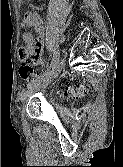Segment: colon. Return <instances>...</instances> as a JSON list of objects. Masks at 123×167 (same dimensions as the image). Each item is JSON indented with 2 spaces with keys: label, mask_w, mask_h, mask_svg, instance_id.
I'll use <instances>...</instances> for the list:
<instances>
[{
  "label": "colon",
  "mask_w": 123,
  "mask_h": 167,
  "mask_svg": "<svg viewBox=\"0 0 123 167\" xmlns=\"http://www.w3.org/2000/svg\"><path fill=\"white\" fill-rule=\"evenodd\" d=\"M29 50L27 47H20L18 49V58L23 63L20 67L19 74L22 80L29 81L35 76L34 69L28 64ZM88 90L86 84H74L66 88V93L73 98L83 97Z\"/></svg>",
  "instance_id": "1"
}]
</instances>
